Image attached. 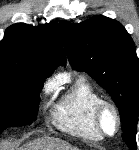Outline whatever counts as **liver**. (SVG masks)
I'll list each match as a JSON object with an SVG mask.
<instances>
[{"instance_id": "liver-1", "label": "liver", "mask_w": 139, "mask_h": 150, "mask_svg": "<svg viewBox=\"0 0 139 150\" xmlns=\"http://www.w3.org/2000/svg\"><path fill=\"white\" fill-rule=\"evenodd\" d=\"M25 148V150H79L63 140L51 137L37 139Z\"/></svg>"}]
</instances>
